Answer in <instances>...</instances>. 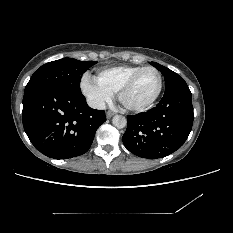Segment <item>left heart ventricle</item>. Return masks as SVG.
<instances>
[{"label": "left heart ventricle", "mask_w": 233, "mask_h": 233, "mask_svg": "<svg viewBox=\"0 0 233 233\" xmlns=\"http://www.w3.org/2000/svg\"><path fill=\"white\" fill-rule=\"evenodd\" d=\"M158 87V76L153 70L144 72L126 93L125 102L137 106L151 99Z\"/></svg>", "instance_id": "obj_1"}]
</instances>
